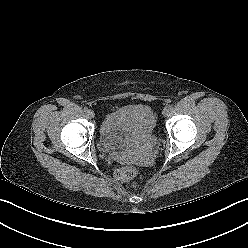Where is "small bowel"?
<instances>
[{
  "instance_id": "1",
  "label": "small bowel",
  "mask_w": 248,
  "mask_h": 248,
  "mask_svg": "<svg viewBox=\"0 0 248 248\" xmlns=\"http://www.w3.org/2000/svg\"><path fill=\"white\" fill-rule=\"evenodd\" d=\"M108 126L109 127H115V126H117V121H116V118H115V116H113V117H111L110 119H109V121H108Z\"/></svg>"
}]
</instances>
